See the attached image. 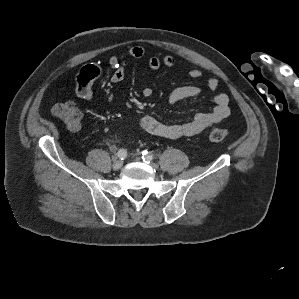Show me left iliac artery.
<instances>
[{"mask_svg": "<svg viewBox=\"0 0 299 299\" xmlns=\"http://www.w3.org/2000/svg\"><path fill=\"white\" fill-rule=\"evenodd\" d=\"M142 158L144 162L150 163V161L153 159V156L151 154L145 153Z\"/></svg>", "mask_w": 299, "mask_h": 299, "instance_id": "1", "label": "left iliac artery"}]
</instances>
